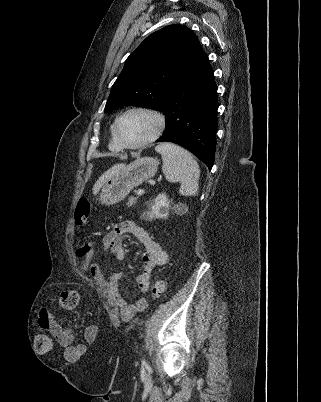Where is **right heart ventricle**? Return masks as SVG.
Listing matches in <instances>:
<instances>
[{
	"label": "right heart ventricle",
	"mask_w": 321,
	"mask_h": 402,
	"mask_svg": "<svg viewBox=\"0 0 321 402\" xmlns=\"http://www.w3.org/2000/svg\"><path fill=\"white\" fill-rule=\"evenodd\" d=\"M108 147L113 152H120L122 150V148L120 147V145L118 144V142L115 139V136L113 133V125L110 129V140H109Z\"/></svg>",
	"instance_id": "1"
}]
</instances>
